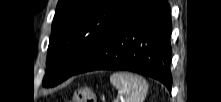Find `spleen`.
Listing matches in <instances>:
<instances>
[{
  "label": "spleen",
  "mask_w": 221,
  "mask_h": 102,
  "mask_svg": "<svg viewBox=\"0 0 221 102\" xmlns=\"http://www.w3.org/2000/svg\"><path fill=\"white\" fill-rule=\"evenodd\" d=\"M110 82L123 96L124 102H143L148 92L146 80L128 72L113 73Z\"/></svg>",
  "instance_id": "1"
}]
</instances>
